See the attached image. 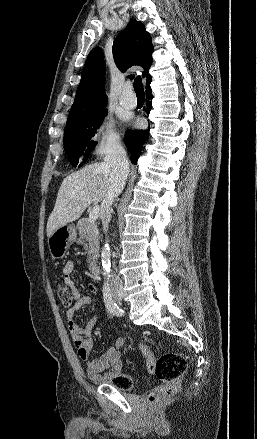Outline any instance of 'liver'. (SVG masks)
Returning a JSON list of instances; mask_svg holds the SVG:
<instances>
[{"label":"liver","mask_w":257,"mask_h":439,"mask_svg":"<svg viewBox=\"0 0 257 439\" xmlns=\"http://www.w3.org/2000/svg\"><path fill=\"white\" fill-rule=\"evenodd\" d=\"M111 173V167L105 162L92 163L63 180L48 218V238L61 226L77 220L90 204L105 198Z\"/></svg>","instance_id":"liver-1"}]
</instances>
